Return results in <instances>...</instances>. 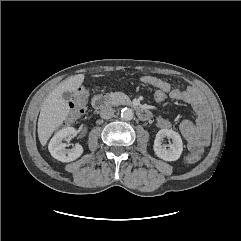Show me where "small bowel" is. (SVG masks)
I'll return each instance as SVG.
<instances>
[{"mask_svg":"<svg viewBox=\"0 0 241 241\" xmlns=\"http://www.w3.org/2000/svg\"><path fill=\"white\" fill-rule=\"evenodd\" d=\"M141 81L153 88L164 89L171 99L192 107L196 116L195 121L183 120L179 129L187 142L188 149L193 154H200L209 144L211 131L209 111L202 95L192 87L180 88L151 75L142 76ZM156 124L161 129H167L171 126V122L164 117H158Z\"/></svg>","mask_w":241,"mask_h":241,"instance_id":"1","label":"small bowel"}]
</instances>
